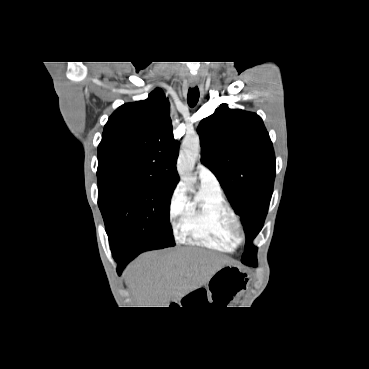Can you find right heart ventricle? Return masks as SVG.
<instances>
[{"mask_svg":"<svg viewBox=\"0 0 369 369\" xmlns=\"http://www.w3.org/2000/svg\"><path fill=\"white\" fill-rule=\"evenodd\" d=\"M180 237L189 244L231 251L239 243L233 229V213L221 189L201 185L187 201L178 224Z\"/></svg>","mask_w":369,"mask_h":369,"instance_id":"1","label":"right heart ventricle"}]
</instances>
